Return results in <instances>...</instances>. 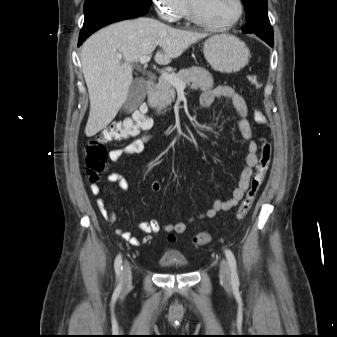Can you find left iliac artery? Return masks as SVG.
<instances>
[{
    "label": "left iliac artery",
    "instance_id": "1",
    "mask_svg": "<svg viewBox=\"0 0 337 337\" xmlns=\"http://www.w3.org/2000/svg\"><path fill=\"white\" fill-rule=\"evenodd\" d=\"M225 255L228 260L230 269H231V279L233 284H239V278H238V273H237V264H236V259L234 254L232 253L231 250L226 249L225 250Z\"/></svg>",
    "mask_w": 337,
    "mask_h": 337
}]
</instances>
